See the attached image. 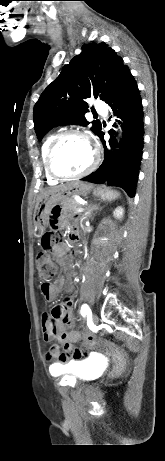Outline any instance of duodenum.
Returning <instances> with one entry per match:
<instances>
[{"mask_svg":"<svg viewBox=\"0 0 165 461\" xmlns=\"http://www.w3.org/2000/svg\"><path fill=\"white\" fill-rule=\"evenodd\" d=\"M79 238V235L78 233L76 232V230H74L71 235H70V240L71 241H76L77 239Z\"/></svg>","mask_w":165,"mask_h":461,"instance_id":"1","label":"duodenum"}]
</instances>
